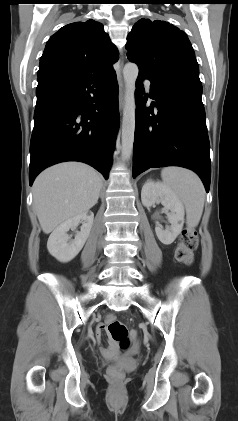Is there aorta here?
<instances>
[{
	"mask_svg": "<svg viewBox=\"0 0 238 421\" xmlns=\"http://www.w3.org/2000/svg\"><path fill=\"white\" fill-rule=\"evenodd\" d=\"M139 69L135 63H127L123 69L125 99L122 121V156L128 160L131 156L135 132V89Z\"/></svg>",
	"mask_w": 238,
	"mask_h": 421,
	"instance_id": "1",
	"label": "aorta"
}]
</instances>
